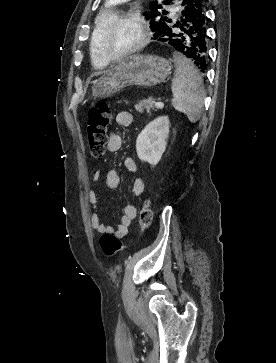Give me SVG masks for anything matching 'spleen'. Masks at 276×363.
Segmentation results:
<instances>
[{"mask_svg": "<svg viewBox=\"0 0 276 363\" xmlns=\"http://www.w3.org/2000/svg\"><path fill=\"white\" fill-rule=\"evenodd\" d=\"M175 74L172 80V106L195 123L202 115L205 90L203 79L191 60L180 53H173Z\"/></svg>", "mask_w": 276, "mask_h": 363, "instance_id": "3e777b00", "label": "spleen"}]
</instances>
